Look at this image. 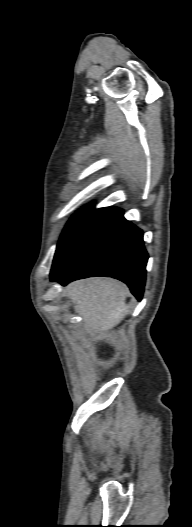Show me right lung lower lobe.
<instances>
[{
    "mask_svg": "<svg viewBox=\"0 0 192 527\" xmlns=\"http://www.w3.org/2000/svg\"><path fill=\"white\" fill-rule=\"evenodd\" d=\"M148 254L143 232L114 207L90 205L62 235L50 274L52 282L108 276L125 282L141 300Z\"/></svg>",
    "mask_w": 192,
    "mask_h": 527,
    "instance_id": "right-lung-lower-lobe-1",
    "label": "right lung lower lobe"
}]
</instances>
